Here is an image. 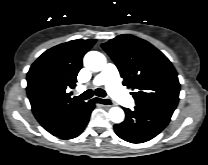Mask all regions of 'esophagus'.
I'll use <instances>...</instances> for the list:
<instances>
[{
	"mask_svg": "<svg viewBox=\"0 0 208 165\" xmlns=\"http://www.w3.org/2000/svg\"><path fill=\"white\" fill-rule=\"evenodd\" d=\"M94 102L97 103V104H100L102 106H105V107H111L113 106V103L107 99H104V98H100V97H94Z\"/></svg>",
	"mask_w": 208,
	"mask_h": 165,
	"instance_id": "34e87169",
	"label": "esophagus"
}]
</instances>
